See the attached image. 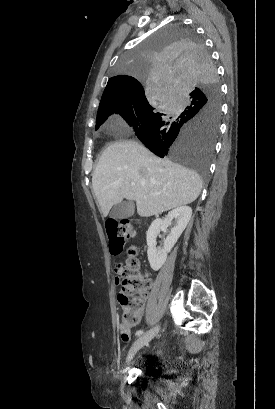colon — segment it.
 Segmentation results:
<instances>
[{"label":"colon","instance_id":"5ec220e1","mask_svg":"<svg viewBox=\"0 0 275 409\" xmlns=\"http://www.w3.org/2000/svg\"><path fill=\"white\" fill-rule=\"evenodd\" d=\"M105 232L109 249L114 254L121 252L126 247L128 239L134 235L129 222L115 219L107 222ZM130 251L133 256L125 261L124 266L117 263L114 268V273L121 275L122 285L118 301L123 315L118 325H127V327L137 324L144 300L143 290L150 289L152 286V281L140 272V260L135 256L136 247H131Z\"/></svg>","mask_w":275,"mask_h":409}]
</instances>
